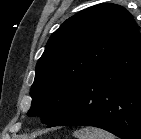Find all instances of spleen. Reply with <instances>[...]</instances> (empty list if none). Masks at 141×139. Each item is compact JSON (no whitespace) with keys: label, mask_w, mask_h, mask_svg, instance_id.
I'll return each mask as SVG.
<instances>
[{"label":"spleen","mask_w":141,"mask_h":139,"mask_svg":"<svg viewBox=\"0 0 141 139\" xmlns=\"http://www.w3.org/2000/svg\"><path fill=\"white\" fill-rule=\"evenodd\" d=\"M76 139H116L112 134L95 127H85L74 132Z\"/></svg>","instance_id":"spleen-1"}]
</instances>
